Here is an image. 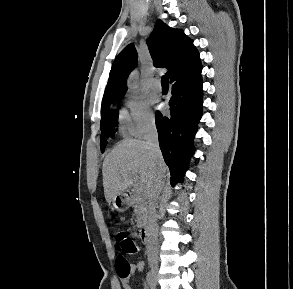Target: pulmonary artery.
<instances>
[{"mask_svg":"<svg viewBox=\"0 0 293 289\" xmlns=\"http://www.w3.org/2000/svg\"><path fill=\"white\" fill-rule=\"evenodd\" d=\"M151 88L155 92H161L162 91V84L159 79H153L151 83Z\"/></svg>","mask_w":293,"mask_h":289,"instance_id":"pulmonary-artery-1","label":"pulmonary artery"}]
</instances>
